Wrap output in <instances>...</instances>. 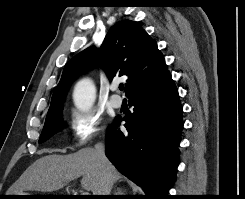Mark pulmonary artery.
<instances>
[{"label":"pulmonary artery","instance_id":"e3ab8cb5","mask_svg":"<svg viewBox=\"0 0 245 199\" xmlns=\"http://www.w3.org/2000/svg\"><path fill=\"white\" fill-rule=\"evenodd\" d=\"M111 91L113 92V95L110 98V103L114 108H120L122 106L123 100L122 98L116 94L118 90V86L116 84L111 85Z\"/></svg>","mask_w":245,"mask_h":199}]
</instances>
